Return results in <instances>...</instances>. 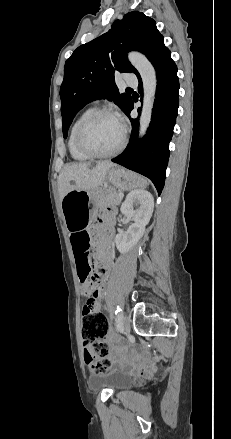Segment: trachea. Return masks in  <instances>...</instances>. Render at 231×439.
<instances>
[{"instance_id": "3493384b", "label": "trachea", "mask_w": 231, "mask_h": 439, "mask_svg": "<svg viewBox=\"0 0 231 439\" xmlns=\"http://www.w3.org/2000/svg\"><path fill=\"white\" fill-rule=\"evenodd\" d=\"M127 90H132L131 88H127Z\"/></svg>"}]
</instances>
